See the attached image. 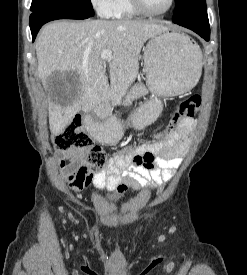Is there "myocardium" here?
Instances as JSON below:
<instances>
[{
	"mask_svg": "<svg viewBox=\"0 0 247 275\" xmlns=\"http://www.w3.org/2000/svg\"><path fill=\"white\" fill-rule=\"evenodd\" d=\"M134 7L142 14L144 15H148V16H161L164 15L166 13H168L174 6L175 4V0H170L169 6L162 10V11H152L151 9H149L144 0H131Z\"/></svg>",
	"mask_w": 247,
	"mask_h": 275,
	"instance_id": "f54148a6",
	"label": "myocardium"
}]
</instances>
